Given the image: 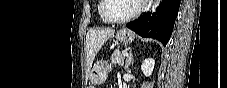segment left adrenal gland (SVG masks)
I'll return each instance as SVG.
<instances>
[{
    "mask_svg": "<svg viewBox=\"0 0 227 88\" xmlns=\"http://www.w3.org/2000/svg\"><path fill=\"white\" fill-rule=\"evenodd\" d=\"M133 63V55H132V51L129 52V55L126 59V63H125V70H127L129 68V65Z\"/></svg>",
    "mask_w": 227,
    "mask_h": 88,
    "instance_id": "a2214340",
    "label": "left adrenal gland"
}]
</instances>
